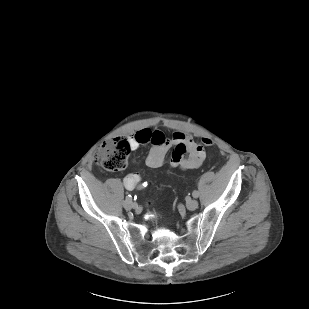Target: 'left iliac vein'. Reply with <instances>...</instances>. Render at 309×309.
<instances>
[{
  "instance_id": "left-iliac-vein-1",
  "label": "left iliac vein",
  "mask_w": 309,
  "mask_h": 309,
  "mask_svg": "<svg viewBox=\"0 0 309 309\" xmlns=\"http://www.w3.org/2000/svg\"><path fill=\"white\" fill-rule=\"evenodd\" d=\"M199 206V202L195 199H190L187 201L186 203V207L189 209V210H195L197 209Z\"/></svg>"
}]
</instances>
